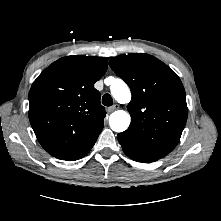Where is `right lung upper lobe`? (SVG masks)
<instances>
[{"mask_svg":"<svg viewBox=\"0 0 221 221\" xmlns=\"http://www.w3.org/2000/svg\"><path fill=\"white\" fill-rule=\"evenodd\" d=\"M106 70L103 57L66 56L32 84L29 120L39 143L52 156L66 159L102 131L106 111L94 84Z\"/></svg>","mask_w":221,"mask_h":221,"instance_id":"1","label":"right lung upper lobe"}]
</instances>
